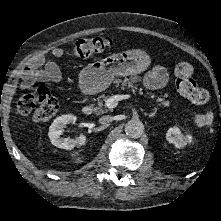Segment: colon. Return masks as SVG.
I'll use <instances>...</instances> for the list:
<instances>
[{"label": "colon", "instance_id": "1", "mask_svg": "<svg viewBox=\"0 0 221 221\" xmlns=\"http://www.w3.org/2000/svg\"><path fill=\"white\" fill-rule=\"evenodd\" d=\"M111 41L107 37H93L76 42L72 54L84 59L100 54L109 48ZM194 68L189 62H180L174 69L178 92L195 104H205L209 100L208 92L199 87L193 78ZM58 110V101L48 87H37L33 92L23 95L17 102L16 111L20 115L32 112L31 119L35 123L51 119Z\"/></svg>", "mask_w": 221, "mask_h": 221}]
</instances>
